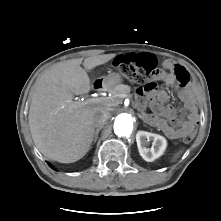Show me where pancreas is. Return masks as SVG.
<instances>
[{
  "label": "pancreas",
  "mask_w": 221,
  "mask_h": 221,
  "mask_svg": "<svg viewBox=\"0 0 221 221\" xmlns=\"http://www.w3.org/2000/svg\"><path fill=\"white\" fill-rule=\"evenodd\" d=\"M131 88L128 85H117L112 91H111V97L108 98L107 102L112 105H116L122 101L124 96H130Z\"/></svg>",
  "instance_id": "1"
}]
</instances>
